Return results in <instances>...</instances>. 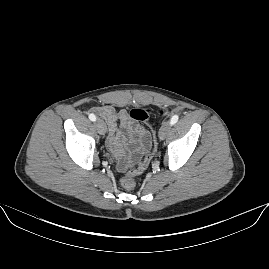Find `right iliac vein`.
<instances>
[{
    "label": "right iliac vein",
    "mask_w": 269,
    "mask_h": 269,
    "mask_svg": "<svg viewBox=\"0 0 269 269\" xmlns=\"http://www.w3.org/2000/svg\"><path fill=\"white\" fill-rule=\"evenodd\" d=\"M95 125L99 134L104 135L106 133V125L103 120L97 119Z\"/></svg>",
    "instance_id": "1"
}]
</instances>
